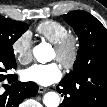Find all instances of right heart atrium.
<instances>
[{
    "label": "right heart atrium",
    "mask_w": 107,
    "mask_h": 107,
    "mask_svg": "<svg viewBox=\"0 0 107 107\" xmlns=\"http://www.w3.org/2000/svg\"><path fill=\"white\" fill-rule=\"evenodd\" d=\"M32 38L29 32L22 33L12 44V51L16 59L27 64L32 60Z\"/></svg>",
    "instance_id": "d8ad5b80"
}]
</instances>
